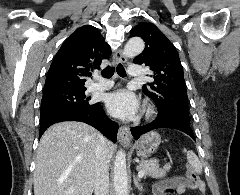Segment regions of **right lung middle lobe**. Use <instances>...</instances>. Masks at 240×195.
<instances>
[{"mask_svg": "<svg viewBox=\"0 0 240 195\" xmlns=\"http://www.w3.org/2000/svg\"><path fill=\"white\" fill-rule=\"evenodd\" d=\"M86 89H74L43 95L41 111L56 107H89L95 104L89 103L85 98Z\"/></svg>", "mask_w": 240, "mask_h": 195, "instance_id": "obj_1", "label": "right lung middle lobe"}]
</instances>
